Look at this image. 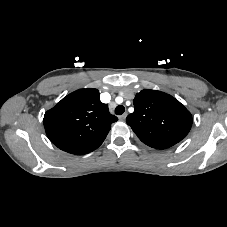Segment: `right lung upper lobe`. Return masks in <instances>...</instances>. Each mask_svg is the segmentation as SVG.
<instances>
[{
	"mask_svg": "<svg viewBox=\"0 0 227 227\" xmlns=\"http://www.w3.org/2000/svg\"><path fill=\"white\" fill-rule=\"evenodd\" d=\"M99 96L97 89H79L48 110L43 122L50 141L59 149L75 155L97 149L105 140L111 124L118 120Z\"/></svg>",
	"mask_w": 227,
	"mask_h": 227,
	"instance_id": "obj_1",
	"label": "right lung upper lobe"
}]
</instances>
